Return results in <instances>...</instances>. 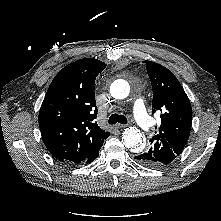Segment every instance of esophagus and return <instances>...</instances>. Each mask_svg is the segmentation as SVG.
<instances>
[{
  "label": "esophagus",
  "instance_id": "obj_1",
  "mask_svg": "<svg viewBox=\"0 0 221 221\" xmlns=\"http://www.w3.org/2000/svg\"><path fill=\"white\" fill-rule=\"evenodd\" d=\"M115 127H116L117 129H122V128H125L126 125H124V124H116Z\"/></svg>",
  "mask_w": 221,
  "mask_h": 221
}]
</instances>
